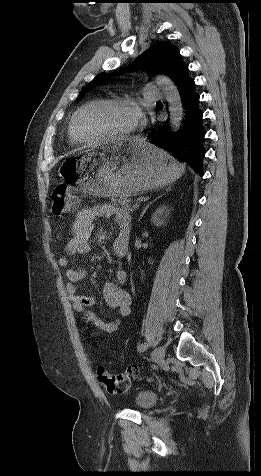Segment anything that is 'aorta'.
I'll use <instances>...</instances> for the list:
<instances>
[{
	"mask_svg": "<svg viewBox=\"0 0 261 476\" xmlns=\"http://www.w3.org/2000/svg\"><path fill=\"white\" fill-rule=\"evenodd\" d=\"M156 83L162 89L168 102L170 127L175 132L180 128L183 117L182 101L178 89L174 82L164 75L157 76Z\"/></svg>",
	"mask_w": 261,
	"mask_h": 476,
	"instance_id": "aorta-1",
	"label": "aorta"
}]
</instances>
